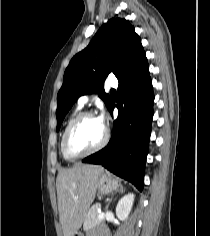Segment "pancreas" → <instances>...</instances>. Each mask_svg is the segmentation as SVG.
Instances as JSON below:
<instances>
[{
	"label": "pancreas",
	"instance_id": "1",
	"mask_svg": "<svg viewBox=\"0 0 210 236\" xmlns=\"http://www.w3.org/2000/svg\"><path fill=\"white\" fill-rule=\"evenodd\" d=\"M99 208H101V204L96 203L89 209L83 224V229L85 231L95 227L96 225H99L102 221H104L103 219L98 218L99 213L97 210Z\"/></svg>",
	"mask_w": 210,
	"mask_h": 236
}]
</instances>
